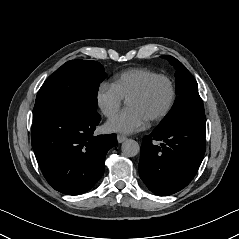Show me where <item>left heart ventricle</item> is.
Segmentation results:
<instances>
[{
	"label": "left heart ventricle",
	"instance_id": "obj_1",
	"mask_svg": "<svg viewBox=\"0 0 239 239\" xmlns=\"http://www.w3.org/2000/svg\"><path fill=\"white\" fill-rule=\"evenodd\" d=\"M168 86L163 81L154 83L148 92L141 98L127 103L129 107L136 109L146 119L161 110L168 99Z\"/></svg>",
	"mask_w": 239,
	"mask_h": 239
}]
</instances>
